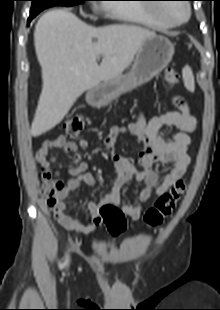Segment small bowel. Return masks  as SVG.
<instances>
[{
  "mask_svg": "<svg viewBox=\"0 0 220 310\" xmlns=\"http://www.w3.org/2000/svg\"><path fill=\"white\" fill-rule=\"evenodd\" d=\"M173 103L176 106L175 110L150 119L140 113L136 121L128 126L110 128L102 143L109 152L117 176L110 190L99 201H91L86 204V210L91 218L88 224L83 223L67 211L64 199L81 183L88 186L95 185V176L87 172L86 162H81L68 170L69 179L58 196V202L52 206L53 214L63 228L82 234L92 233L102 223L100 208L108 203L119 205L125 215L132 221H137L142 215V205L149 200L152 194L159 196L184 176L191 161L188 155V147L191 143L189 133L195 129L196 119L190 113L189 106L183 97L175 96ZM164 128L168 129L169 137L167 139L160 135ZM122 134H130L143 144V149L137 160L114 152L115 143ZM90 143V138L80 139L77 144L60 135L55 139L45 140L36 153V159L45 171L51 172V166L56 161V158L50 155L53 149L75 152L78 146L87 148ZM157 161L171 165V170L162 180L152 168ZM131 180L142 182L144 187L140 191L136 203L121 204V189Z\"/></svg>",
  "mask_w": 220,
  "mask_h": 310,
  "instance_id": "c3829d8e",
  "label": "small bowel"
}]
</instances>
